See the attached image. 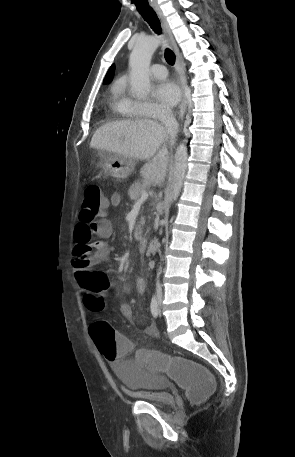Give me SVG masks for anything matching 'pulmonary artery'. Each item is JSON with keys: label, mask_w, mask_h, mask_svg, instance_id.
I'll use <instances>...</instances> for the list:
<instances>
[{"label": "pulmonary artery", "mask_w": 295, "mask_h": 457, "mask_svg": "<svg viewBox=\"0 0 295 457\" xmlns=\"http://www.w3.org/2000/svg\"><path fill=\"white\" fill-rule=\"evenodd\" d=\"M150 73L154 78L163 79L167 76V69L161 64H154L150 68Z\"/></svg>", "instance_id": "pulmonary-artery-1"}]
</instances>
